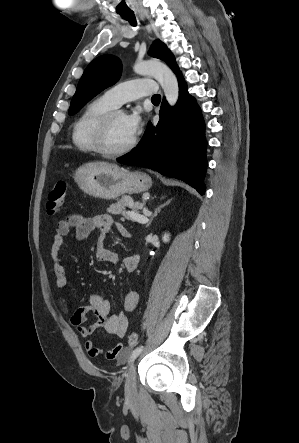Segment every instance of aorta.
<instances>
[{
	"instance_id": "762f6f07",
	"label": "aorta",
	"mask_w": 299,
	"mask_h": 443,
	"mask_svg": "<svg viewBox=\"0 0 299 443\" xmlns=\"http://www.w3.org/2000/svg\"><path fill=\"white\" fill-rule=\"evenodd\" d=\"M133 70L143 76L155 78L161 85L166 100L170 106H174L179 97L178 81L173 72L163 63L158 61H138Z\"/></svg>"
}]
</instances>
